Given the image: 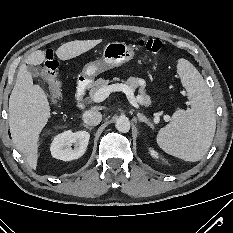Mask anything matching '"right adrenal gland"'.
<instances>
[{
    "label": "right adrenal gland",
    "instance_id": "2a0ac1e0",
    "mask_svg": "<svg viewBox=\"0 0 233 233\" xmlns=\"http://www.w3.org/2000/svg\"><path fill=\"white\" fill-rule=\"evenodd\" d=\"M83 126H84L86 129H89L90 131L93 129V127H90V126H88V125H86V124H83Z\"/></svg>",
    "mask_w": 233,
    "mask_h": 233
}]
</instances>
